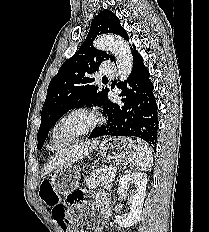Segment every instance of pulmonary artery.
<instances>
[{
    "mask_svg": "<svg viewBox=\"0 0 209 232\" xmlns=\"http://www.w3.org/2000/svg\"><path fill=\"white\" fill-rule=\"evenodd\" d=\"M115 73H116V68L111 63H107L102 70V74L106 76H114Z\"/></svg>",
    "mask_w": 209,
    "mask_h": 232,
    "instance_id": "1",
    "label": "pulmonary artery"
}]
</instances>
